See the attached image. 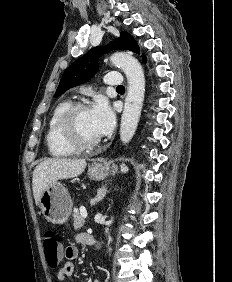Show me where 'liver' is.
Wrapping results in <instances>:
<instances>
[{
	"label": "liver",
	"mask_w": 232,
	"mask_h": 282,
	"mask_svg": "<svg viewBox=\"0 0 232 282\" xmlns=\"http://www.w3.org/2000/svg\"><path fill=\"white\" fill-rule=\"evenodd\" d=\"M86 167L85 159L50 158L39 163L33 172L32 188L35 203L40 204L43 191L58 180L81 175Z\"/></svg>",
	"instance_id": "1"
}]
</instances>
